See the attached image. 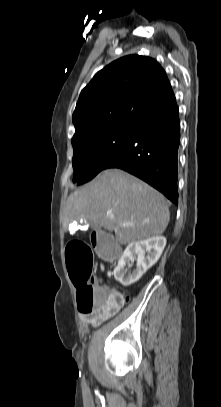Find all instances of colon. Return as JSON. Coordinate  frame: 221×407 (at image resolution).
<instances>
[{
	"mask_svg": "<svg viewBox=\"0 0 221 407\" xmlns=\"http://www.w3.org/2000/svg\"><path fill=\"white\" fill-rule=\"evenodd\" d=\"M102 255V261H119L121 252L118 241L106 230H94L91 247L83 241H72L66 248L70 278L77 288L79 311L83 314H115L129 301L125 291H116L93 282V251Z\"/></svg>",
	"mask_w": 221,
	"mask_h": 407,
	"instance_id": "1",
	"label": "colon"
}]
</instances>
